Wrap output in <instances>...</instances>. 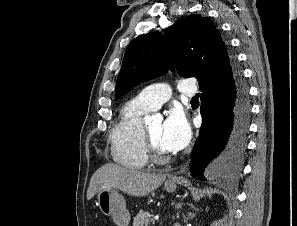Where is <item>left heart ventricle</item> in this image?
<instances>
[{
  "label": "left heart ventricle",
  "mask_w": 297,
  "mask_h": 226,
  "mask_svg": "<svg viewBox=\"0 0 297 226\" xmlns=\"http://www.w3.org/2000/svg\"><path fill=\"white\" fill-rule=\"evenodd\" d=\"M162 127L163 124L161 122H157V123H153L149 126H147L148 132L150 134L151 139L153 140V142L155 143V145L157 146V148L163 152V153H167V151H165L160 143L161 140V134H162Z\"/></svg>",
  "instance_id": "b2bd125f"
}]
</instances>
